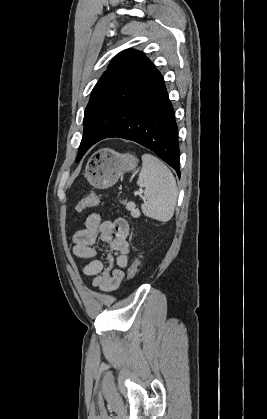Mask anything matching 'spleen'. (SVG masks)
I'll return each mask as SVG.
<instances>
[{
	"label": "spleen",
	"mask_w": 267,
	"mask_h": 419,
	"mask_svg": "<svg viewBox=\"0 0 267 419\" xmlns=\"http://www.w3.org/2000/svg\"><path fill=\"white\" fill-rule=\"evenodd\" d=\"M137 184L144 188L143 214L161 222L169 221L174 215L178 196L177 184L169 168L152 154H144Z\"/></svg>",
	"instance_id": "spleen-1"
}]
</instances>
